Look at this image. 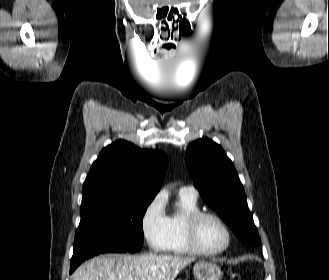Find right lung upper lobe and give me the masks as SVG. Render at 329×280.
I'll use <instances>...</instances> for the list:
<instances>
[{
	"label": "right lung upper lobe",
	"instance_id": "cb5924a9",
	"mask_svg": "<svg viewBox=\"0 0 329 280\" xmlns=\"http://www.w3.org/2000/svg\"><path fill=\"white\" fill-rule=\"evenodd\" d=\"M166 167L167 157L161 151L117 140L105 147L92 164L83 185L81 207L122 196L154 198Z\"/></svg>",
	"mask_w": 329,
	"mask_h": 280
}]
</instances>
